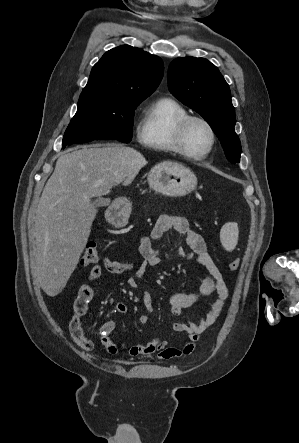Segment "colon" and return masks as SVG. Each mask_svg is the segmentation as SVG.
<instances>
[{
    "mask_svg": "<svg viewBox=\"0 0 299 443\" xmlns=\"http://www.w3.org/2000/svg\"><path fill=\"white\" fill-rule=\"evenodd\" d=\"M99 257V246L97 242H90L86 245V248L81 256L80 259V265L81 266H88L93 263H95L98 260ZM240 265L239 259L235 258L232 259L229 262V268L232 271H235L238 269Z\"/></svg>",
    "mask_w": 299,
    "mask_h": 443,
    "instance_id": "obj_1",
    "label": "colon"
}]
</instances>
